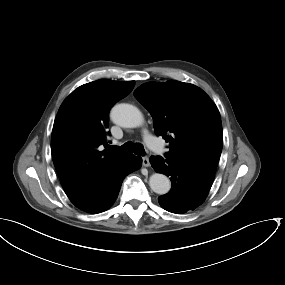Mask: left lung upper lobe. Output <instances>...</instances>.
Instances as JSON below:
<instances>
[{
  "instance_id": "5c2ea615",
  "label": "left lung upper lobe",
  "mask_w": 285,
  "mask_h": 285,
  "mask_svg": "<svg viewBox=\"0 0 285 285\" xmlns=\"http://www.w3.org/2000/svg\"><path fill=\"white\" fill-rule=\"evenodd\" d=\"M134 96L152 115L155 133L170 143L166 158L215 174L223 146L222 123L202 89L174 80L148 82Z\"/></svg>"
}]
</instances>
